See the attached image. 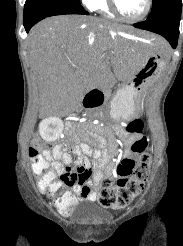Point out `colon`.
Returning <instances> with one entry per match:
<instances>
[{"instance_id":"colon-1","label":"colon","mask_w":183,"mask_h":246,"mask_svg":"<svg viewBox=\"0 0 183 246\" xmlns=\"http://www.w3.org/2000/svg\"><path fill=\"white\" fill-rule=\"evenodd\" d=\"M125 130L127 132H139L142 130V123L138 119L133 120L125 126ZM44 145L45 143L39 137H35L30 146V155L39 186L48 193L55 190L58 182L69 185L77 178H59V181H56V175L48 169V162L42 155ZM132 151L136 155V159L132 157L123 158L114 168V177L105 176L99 181L98 202L103 207L125 208L142 193L151 166V147L148 140L145 138L137 140L132 146ZM84 172L85 170L77 171V173ZM61 204L57 199V205ZM65 206L70 205L66 203Z\"/></svg>"}]
</instances>
